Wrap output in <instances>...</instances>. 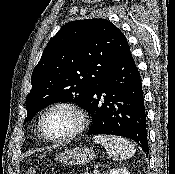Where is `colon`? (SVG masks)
<instances>
[{
    "mask_svg": "<svg viewBox=\"0 0 175 174\" xmlns=\"http://www.w3.org/2000/svg\"><path fill=\"white\" fill-rule=\"evenodd\" d=\"M27 174H36V172H35V170L30 169V170H28Z\"/></svg>",
    "mask_w": 175,
    "mask_h": 174,
    "instance_id": "colon-1",
    "label": "colon"
}]
</instances>
